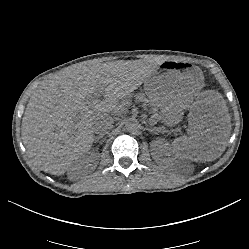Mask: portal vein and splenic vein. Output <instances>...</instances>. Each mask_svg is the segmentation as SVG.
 <instances>
[{
    "label": "portal vein and splenic vein",
    "mask_w": 249,
    "mask_h": 249,
    "mask_svg": "<svg viewBox=\"0 0 249 249\" xmlns=\"http://www.w3.org/2000/svg\"><path fill=\"white\" fill-rule=\"evenodd\" d=\"M101 96L100 92H97L96 95H94L93 100H98V98Z\"/></svg>",
    "instance_id": "1"
}]
</instances>
